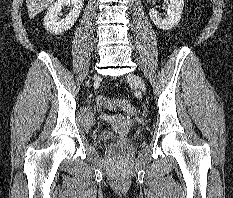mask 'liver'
Returning <instances> with one entry per match:
<instances>
[{
	"label": "liver",
	"mask_w": 233,
	"mask_h": 198,
	"mask_svg": "<svg viewBox=\"0 0 233 198\" xmlns=\"http://www.w3.org/2000/svg\"><path fill=\"white\" fill-rule=\"evenodd\" d=\"M53 2L54 0H26L29 18H34Z\"/></svg>",
	"instance_id": "obj_1"
}]
</instances>
